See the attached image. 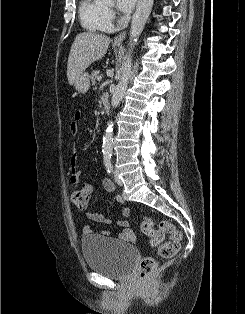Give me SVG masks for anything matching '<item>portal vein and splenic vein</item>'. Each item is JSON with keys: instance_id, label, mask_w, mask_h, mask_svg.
I'll use <instances>...</instances> for the list:
<instances>
[{"instance_id": "18ae733b", "label": "portal vein and splenic vein", "mask_w": 245, "mask_h": 314, "mask_svg": "<svg viewBox=\"0 0 245 314\" xmlns=\"http://www.w3.org/2000/svg\"><path fill=\"white\" fill-rule=\"evenodd\" d=\"M101 79H102V76H101V75L97 77V80H98V81H101Z\"/></svg>"}]
</instances>
